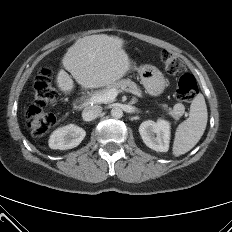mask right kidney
<instances>
[{
  "instance_id": "1",
  "label": "right kidney",
  "mask_w": 232,
  "mask_h": 232,
  "mask_svg": "<svg viewBox=\"0 0 232 232\" xmlns=\"http://www.w3.org/2000/svg\"><path fill=\"white\" fill-rule=\"evenodd\" d=\"M86 132L84 129L69 124L55 130L49 139L51 149L67 150L77 147L84 139Z\"/></svg>"
}]
</instances>
